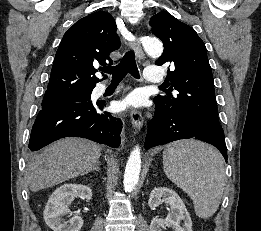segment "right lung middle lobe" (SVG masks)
Here are the masks:
<instances>
[{"mask_svg": "<svg viewBox=\"0 0 261 231\" xmlns=\"http://www.w3.org/2000/svg\"><path fill=\"white\" fill-rule=\"evenodd\" d=\"M92 90L45 93L42 101V109H48L59 105L90 100Z\"/></svg>", "mask_w": 261, "mask_h": 231, "instance_id": "obj_1", "label": "right lung middle lobe"}]
</instances>
